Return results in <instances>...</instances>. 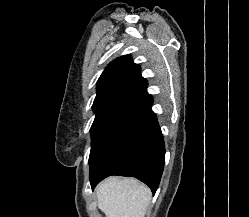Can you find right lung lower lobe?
I'll return each mask as SVG.
<instances>
[{
	"label": "right lung lower lobe",
	"mask_w": 249,
	"mask_h": 217,
	"mask_svg": "<svg viewBox=\"0 0 249 217\" xmlns=\"http://www.w3.org/2000/svg\"><path fill=\"white\" fill-rule=\"evenodd\" d=\"M147 81L125 92L105 112L92 136L89 157L92 189L110 175L132 176L155 194L165 147Z\"/></svg>",
	"instance_id": "obj_1"
}]
</instances>
